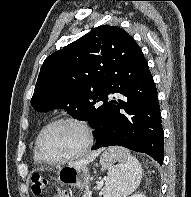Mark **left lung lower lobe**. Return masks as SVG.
I'll list each match as a JSON object with an SVG mask.
<instances>
[{"mask_svg":"<svg viewBox=\"0 0 191 197\" xmlns=\"http://www.w3.org/2000/svg\"><path fill=\"white\" fill-rule=\"evenodd\" d=\"M116 96L107 99L89 121L95 129L94 149L123 146L146 153L162 164L163 129L157 90L149 68L129 70L120 77Z\"/></svg>","mask_w":191,"mask_h":197,"instance_id":"left-lung-lower-lobe-1","label":"left lung lower lobe"}]
</instances>
